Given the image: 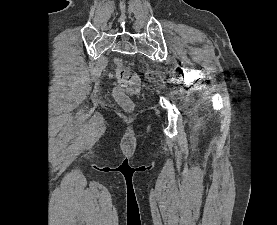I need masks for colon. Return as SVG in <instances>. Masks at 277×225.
<instances>
[{
  "instance_id": "colon-1",
  "label": "colon",
  "mask_w": 277,
  "mask_h": 225,
  "mask_svg": "<svg viewBox=\"0 0 277 225\" xmlns=\"http://www.w3.org/2000/svg\"><path fill=\"white\" fill-rule=\"evenodd\" d=\"M115 72L118 85L113 94L122 109L132 111L134 103L130 98L131 93H136L140 89V80L135 70L123 64L121 60L115 62Z\"/></svg>"
}]
</instances>
